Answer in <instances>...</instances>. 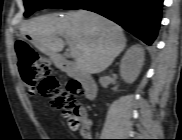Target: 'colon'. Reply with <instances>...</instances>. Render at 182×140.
Returning a JSON list of instances; mask_svg holds the SVG:
<instances>
[{"instance_id": "obj_1", "label": "colon", "mask_w": 182, "mask_h": 140, "mask_svg": "<svg viewBox=\"0 0 182 140\" xmlns=\"http://www.w3.org/2000/svg\"><path fill=\"white\" fill-rule=\"evenodd\" d=\"M15 50L27 92L30 95L38 93L47 97L54 109L63 111L69 117L71 128L89 127L85 110L76 101L77 96L82 92L80 84L72 80L62 85L51 74L48 60L25 40H18L15 43Z\"/></svg>"}]
</instances>
